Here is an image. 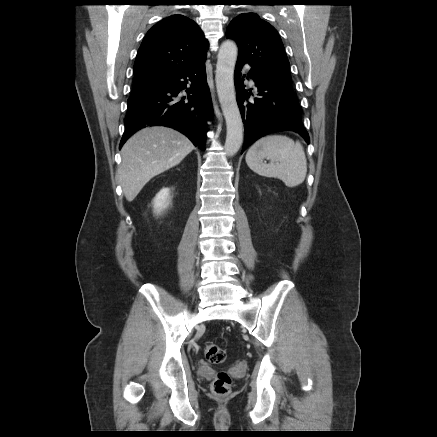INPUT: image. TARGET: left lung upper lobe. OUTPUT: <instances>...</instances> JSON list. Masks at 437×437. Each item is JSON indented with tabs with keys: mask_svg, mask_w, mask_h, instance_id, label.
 Here are the masks:
<instances>
[{
	"mask_svg": "<svg viewBox=\"0 0 437 437\" xmlns=\"http://www.w3.org/2000/svg\"><path fill=\"white\" fill-rule=\"evenodd\" d=\"M226 37L237 42L239 60L248 63L264 80L293 93L289 61L273 26L256 13H243L231 21Z\"/></svg>",
	"mask_w": 437,
	"mask_h": 437,
	"instance_id": "5c2ea615",
	"label": "left lung upper lobe"
}]
</instances>
